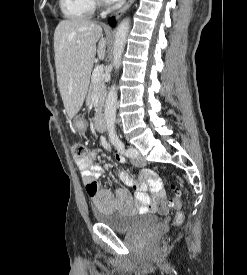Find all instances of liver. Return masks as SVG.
Returning a JSON list of instances; mask_svg holds the SVG:
<instances>
[{"label":"liver","mask_w":247,"mask_h":275,"mask_svg":"<svg viewBox=\"0 0 247 275\" xmlns=\"http://www.w3.org/2000/svg\"><path fill=\"white\" fill-rule=\"evenodd\" d=\"M54 51L58 88L72 119L84 103L96 54L100 60L106 54L102 27L81 18L62 20L54 32Z\"/></svg>","instance_id":"liver-1"}]
</instances>
